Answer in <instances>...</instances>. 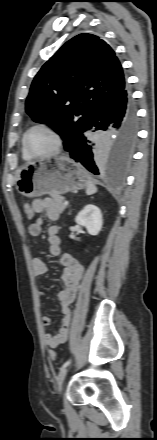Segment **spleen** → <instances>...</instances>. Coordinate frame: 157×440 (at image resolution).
<instances>
[{"label": "spleen", "instance_id": "1", "mask_svg": "<svg viewBox=\"0 0 157 440\" xmlns=\"http://www.w3.org/2000/svg\"><path fill=\"white\" fill-rule=\"evenodd\" d=\"M97 192V187L94 185V183L92 181H87V186H86V194L87 195H92L94 193Z\"/></svg>", "mask_w": 157, "mask_h": 440}]
</instances>
